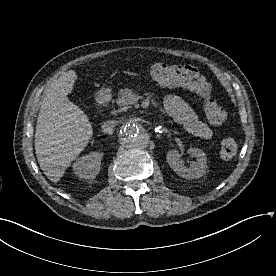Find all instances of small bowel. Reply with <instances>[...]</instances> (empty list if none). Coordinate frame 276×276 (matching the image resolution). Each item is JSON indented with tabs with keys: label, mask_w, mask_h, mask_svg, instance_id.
<instances>
[{
	"label": "small bowel",
	"mask_w": 276,
	"mask_h": 276,
	"mask_svg": "<svg viewBox=\"0 0 276 276\" xmlns=\"http://www.w3.org/2000/svg\"><path fill=\"white\" fill-rule=\"evenodd\" d=\"M164 106L167 114L179 125L193 135L209 139L214 135L213 129L200 120L194 110L179 96L169 95Z\"/></svg>",
	"instance_id": "small-bowel-1"
}]
</instances>
